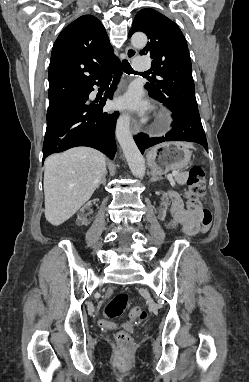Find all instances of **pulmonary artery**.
<instances>
[{"mask_svg":"<svg viewBox=\"0 0 249 382\" xmlns=\"http://www.w3.org/2000/svg\"><path fill=\"white\" fill-rule=\"evenodd\" d=\"M151 67V63L145 57H139L134 60V68L137 70H148Z\"/></svg>","mask_w":249,"mask_h":382,"instance_id":"e3ab8cb5","label":"pulmonary artery"}]
</instances>
